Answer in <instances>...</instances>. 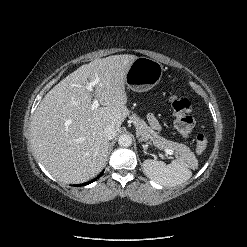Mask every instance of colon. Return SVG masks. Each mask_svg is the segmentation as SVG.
I'll return each mask as SVG.
<instances>
[{
    "label": "colon",
    "mask_w": 247,
    "mask_h": 247,
    "mask_svg": "<svg viewBox=\"0 0 247 247\" xmlns=\"http://www.w3.org/2000/svg\"><path fill=\"white\" fill-rule=\"evenodd\" d=\"M170 102L174 114L176 130L182 136H189L195 125V121L190 114L192 108L190 99L185 96L172 95ZM194 143L195 150L199 154L203 153L208 147V140L204 134H197Z\"/></svg>",
    "instance_id": "colon-1"
}]
</instances>
